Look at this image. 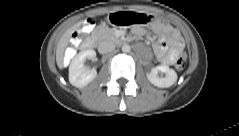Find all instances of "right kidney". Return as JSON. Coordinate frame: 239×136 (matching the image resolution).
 <instances>
[{"label":"right kidney","mask_w":239,"mask_h":136,"mask_svg":"<svg viewBox=\"0 0 239 136\" xmlns=\"http://www.w3.org/2000/svg\"><path fill=\"white\" fill-rule=\"evenodd\" d=\"M96 52L87 50L78 53L71 61L69 66V82L78 88L88 85L97 75L95 68L86 69L84 61L86 59L95 60Z\"/></svg>","instance_id":"obj_1"}]
</instances>
